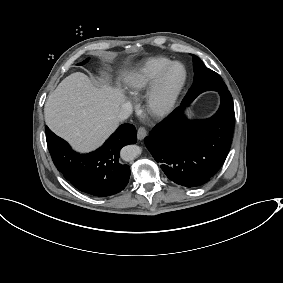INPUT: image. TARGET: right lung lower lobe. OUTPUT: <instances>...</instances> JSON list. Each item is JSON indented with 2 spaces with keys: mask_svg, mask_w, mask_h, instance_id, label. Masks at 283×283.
Returning <instances> with one entry per match:
<instances>
[{
  "mask_svg": "<svg viewBox=\"0 0 283 283\" xmlns=\"http://www.w3.org/2000/svg\"><path fill=\"white\" fill-rule=\"evenodd\" d=\"M46 141L57 169L74 187L94 196H110L128 184L130 168L120 162V150L137 141L132 124L121 125L96 151L79 154L46 127Z\"/></svg>",
  "mask_w": 283,
  "mask_h": 283,
  "instance_id": "obj_1",
  "label": "right lung lower lobe"
}]
</instances>
